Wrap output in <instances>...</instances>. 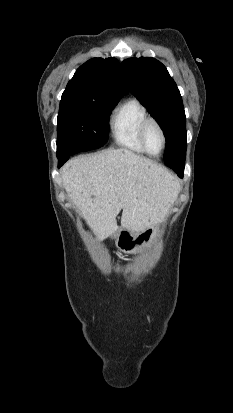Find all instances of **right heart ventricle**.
Instances as JSON below:
<instances>
[{"label":"right heart ventricle","instance_id":"right-heart-ventricle-1","mask_svg":"<svg viewBox=\"0 0 233 413\" xmlns=\"http://www.w3.org/2000/svg\"><path fill=\"white\" fill-rule=\"evenodd\" d=\"M148 117L143 102L135 97L129 98L120 104L110 119V129L114 143L129 151L146 153L139 141V127Z\"/></svg>","mask_w":233,"mask_h":413}]
</instances>
